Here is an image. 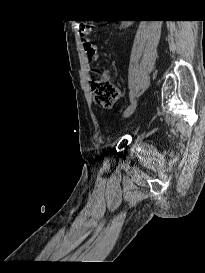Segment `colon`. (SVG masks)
Instances as JSON below:
<instances>
[{
	"label": "colon",
	"mask_w": 205,
	"mask_h": 273,
	"mask_svg": "<svg viewBox=\"0 0 205 273\" xmlns=\"http://www.w3.org/2000/svg\"><path fill=\"white\" fill-rule=\"evenodd\" d=\"M77 29L81 35H87L91 31V25L85 22H77ZM90 86L94 100L100 107L111 108L120 97L119 89L105 76L92 78Z\"/></svg>",
	"instance_id": "colon-1"
}]
</instances>
